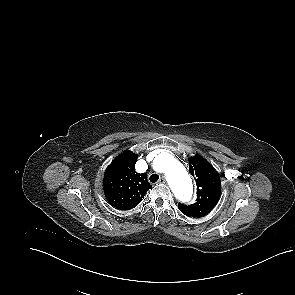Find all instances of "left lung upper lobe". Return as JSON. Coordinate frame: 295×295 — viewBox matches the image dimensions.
<instances>
[{
	"instance_id": "obj_1",
	"label": "left lung upper lobe",
	"mask_w": 295,
	"mask_h": 295,
	"mask_svg": "<svg viewBox=\"0 0 295 295\" xmlns=\"http://www.w3.org/2000/svg\"><path fill=\"white\" fill-rule=\"evenodd\" d=\"M189 172L197 185V200L194 204L179 203V210L189 217L200 218L208 214L218 203L221 194V182L218 172L203 157L189 158Z\"/></svg>"
}]
</instances>
